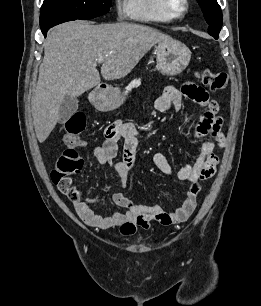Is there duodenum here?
<instances>
[{"label":"duodenum","instance_id":"duodenum-1","mask_svg":"<svg viewBox=\"0 0 261 306\" xmlns=\"http://www.w3.org/2000/svg\"><path fill=\"white\" fill-rule=\"evenodd\" d=\"M107 94H108L107 87L105 85H101L96 89L94 93V99L96 101H101L107 96Z\"/></svg>","mask_w":261,"mask_h":306}]
</instances>
